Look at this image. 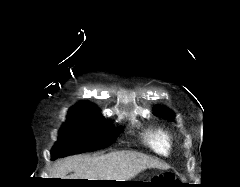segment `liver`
Returning a JSON list of instances; mask_svg holds the SVG:
<instances>
[{
	"label": "liver",
	"mask_w": 240,
	"mask_h": 187,
	"mask_svg": "<svg viewBox=\"0 0 240 187\" xmlns=\"http://www.w3.org/2000/svg\"><path fill=\"white\" fill-rule=\"evenodd\" d=\"M147 168L166 169L159 160L134 151L101 156L74 155L54 164L51 178L128 181ZM69 172H73L67 176ZM70 177V178H68Z\"/></svg>",
	"instance_id": "6515ba94"
}]
</instances>
